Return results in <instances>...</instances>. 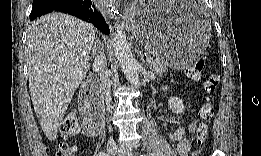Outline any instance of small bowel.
Masks as SVG:
<instances>
[{"label":"small bowel","instance_id":"1","mask_svg":"<svg viewBox=\"0 0 261 156\" xmlns=\"http://www.w3.org/2000/svg\"><path fill=\"white\" fill-rule=\"evenodd\" d=\"M196 128V121H191L186 127H180L169 135L170 139L176 143L177 153L180 156H187L190 143L185 138L186 133H193Z\"/></svg>","mask_w":261,"mask_h":156}]
</instances>
